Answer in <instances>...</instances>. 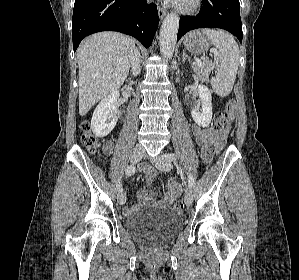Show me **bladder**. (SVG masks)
I'll return each mask as SVG.
<instances>
[{
    "mask_svg": "<svg viewBox=\"0 0 299 280\" xmlns=\"http://www.w3.org/2000/svg\"><path fill=\"white\" fill-rule=\"evenodd\" d=\"M181 225V216L170 208L144 209L126 221L128 231L140 242L152 247L170 243Z\"/></svg>",
    "mask_w": 299,
    "mask_h": 280,
    "instance_id": "31cf9c89",
    "label": "bladder"
}]
</instances>
